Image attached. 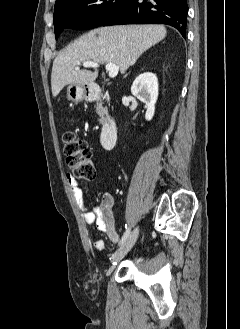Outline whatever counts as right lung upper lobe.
Wrapping results in <instances>:
<instances>
[{"mask_svg":"<svg viewBox=\"0 0 240 329\" xmlns=\"http://www.w3.org/2000/svg\"><path fill=\"white\" fill-rule=\"evenodd\" d=\"M67 1H69V0H56V3H55V7H54V9H56V8H58V7H60V6H62L65 2H67Z\"/></svg>","mask_w":240,"mask_h":329,"instance_id":"1","label":"right lung upper lobe"}]
</instances>
